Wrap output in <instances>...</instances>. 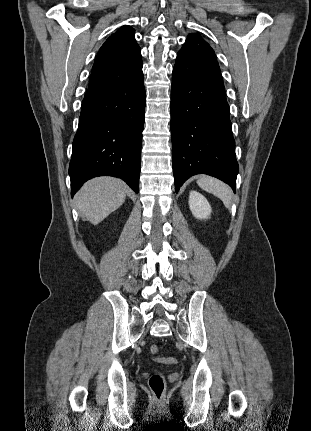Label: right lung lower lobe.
Masks as SVG:
<instances>
[{
    "label": "right lung lower lobe",
    "mask_w": 311,
    "mask_h": 431,
    "mask_svg": "<svg viewBox=\"0 0 311 431\" xmlns=\"http://www.w3.org/2000/svg\"><path fill=\"white\" fill-rule=\"evenodd\" d=\"M144 115L142 65L122 79L88 88L69 165L72 196L102 175L121 178L139 192Z\"/></svg>",
    "instance_id": "1"
}]
</instances>
